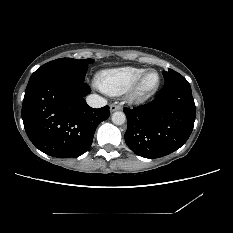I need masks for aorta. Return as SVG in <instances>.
<instances>
[{
	"label": "aorta",
	"instance_id": "obj_1",
	"mask_svg": "<svg viewBox=\"0 0 233 233\" xmlns=\"http://www.w3.org/2000/svg\"><path fill=\"white\" fill-rule=\"evenodd\" d=\"M126 121V116L121 111H116L112 114V122L116 125H122Z\"/></svg>",
	"mask_w": 233,
	"mask_h": 233
}]
</instances>
